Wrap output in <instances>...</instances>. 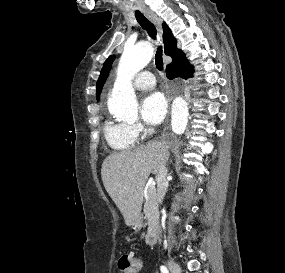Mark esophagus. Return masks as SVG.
<instances>
[{
	"label": "esophagus",
	"instance_id": "obj_1",
	"mask_svg": "<svg viewBox=\"0 0 285 273\" xmlns=\"http://www.w3.org/2000/svg\"><path fill=\"white\" fill-rule=\"evenodd\" d=\"M144 14L155 25L160 37H162V19L152 11H144Z\"/></svg>",
	"mask_w": 285,
	"mask_h": 273
}]
</instances>
